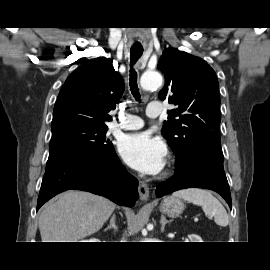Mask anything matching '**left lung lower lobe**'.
<instances>
[{"label":"left lung lower lobe","instance_id":"1","mask_svg":"<svg viewBox=\"0 0 270 270\" xmlns=\"http://www.w3.org/2000/svg\"><path fill=\"white\" fill-rule=\"evenodd\" d=\"M223 153L194 148L189 155L177 159L175 174L158 184L157 197L171 192L199 187L219 193L231 208V195L223 168Z\"/></svg>","mask_w":270,"mask_h":270}]
</instances>
